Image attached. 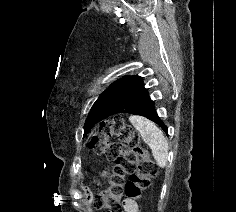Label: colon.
Here are the masks:
<instances>
[{"instance_id":"5ec220e1","label":"colon","mask_w":236,"mask_h":212,"mask_svg":"<svg viewBox=\"0 0 236 212\" xmlns=\"http://www.w3.org/2000/svg\"><path fill=\"white\" fill-rule=\"evenodd\" d=\"M110 139H113L111 141ZM88 148L98 155L113 160L108 187L94 204L108 212H120V199L125 194L138 200L157 175V166L149 158L140 139L123 118L114 117L101 123L98 131L90 138ZM129 180L124 184V176Z\"/></svg>"}]
</instances>
